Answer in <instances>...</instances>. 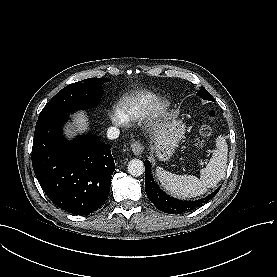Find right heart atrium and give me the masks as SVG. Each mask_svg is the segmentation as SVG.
Masks as SVG:
<instances>
[{"label": "right heart atrium", "mask_w": 277, "mask_h": 277, "mask_svg": "<svg viewBox=\"0 0 277 277\" xmlns=\"http://www.w3.org/2000/svg\"><path fill=\"white\" fill-rule=\"evenodd\" d=\"M110 120L113 124L115 125H120L123 122V118L121 113L119 112L118 109H114L111 113H110Z\"/></svg>", "instance_id": "obj_1"}]
</instances>
